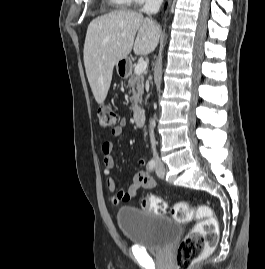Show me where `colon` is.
Wrapping results in <instances>:
<instances>
[{
	"label": "colon",
	"mask_w": 265,
	"mask_h": 269,
	"mask_svg": "<svg viewBox=\"0 0 265 269\" xmlns=\"http://www.w3.org/2000/svg\"><path fill=\"white\" fill-rule=\"evenodd\" d=\"M97 116L103 129H114L118 126V116L110 106H100L97 110ZM142 207L151 213L157 214L167 211L166 202L153 195L143 198ZM172 216L180 223L189 222L193 218L199 219L180 242L177 249L176 269H188L193 262L203 256L208 248L216 244L218 223L210 208L205 206L194 208L186 201L177 202L173 206Z\"/></svg>",
	"instance_id": "5ec220e1"
}]
</instances>
